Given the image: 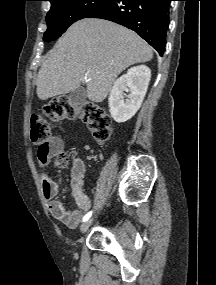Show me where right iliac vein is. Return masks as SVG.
I'll use <instances>...</instances> for the list:
<instances>
[{
    "instance_id": "63e3f726",
    "label": "right iliac vein",
    "mask_w": 216,
    "mask_h": 285,
    "mask_svg": "<svg viewBox=\"0 0 216 285\" xmlns=\"http://www.w3.org/2000/svg\"><path fill=\"white\" fill-rule=\"evenodd\" d=\"M92 221H93V219H89V220L85 221V222L81 225V227H80L81 233H85V232L88 230V228H89V227L91 226V224H92Z\"/></svg>"
}]
</instances>
